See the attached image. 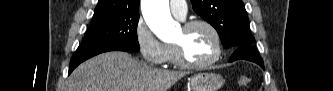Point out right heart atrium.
<instances>
[{"instance_id":"right-heart-atrium-1","label":"right heart atrium","mask_w":333,"mask_h":91,"mask_svg":"<svg viewBox=\"0 0 333 91\" xmlns=\"http://www.w3.org/2000/svg\"><path fill=\"white\" fill-rule=\"evenodd\" d=\"M134 38L141 56L152 65H162L167 59V47L162 44L140 17L134 28Z\"/></svg>"}]
</instances>
